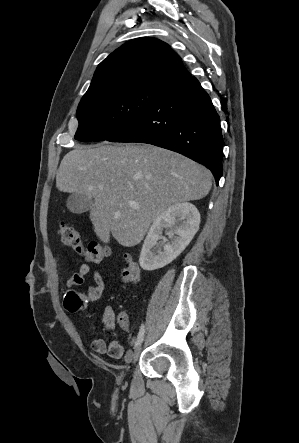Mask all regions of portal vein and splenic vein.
Instances as JSON below:
<instances>
[{
	"label": "portal vein and splenic vein",
	"instance_id": "obj_1",
	"mask_svg": "<svg viewBox=\"0 0 299 443\" xmlns=\"http://www.w3.org/2000/svg\"><path fill=\"white\" fill-rule=\"evenodd\" d=\"M99 189H102V187L100 186ZM129 205L133 208H138V204H136L135 202H129Z\"/></svg>",
	"mask_w": 299,
	"mask_h": 443
}]
</instances>
